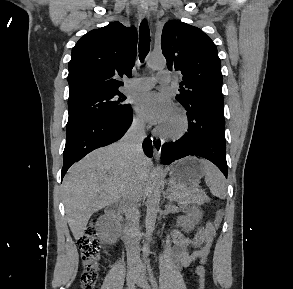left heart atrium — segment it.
Masks as SVG:
<instances>
[{
  "label": "left heart atrium",
  "mask_w": 293,
  "mask_h": 289,
  "mask_svg": "<svg viewBox=\"0 0 293 289\" xmlns=\"http://www.w3.org/2000/svg\"><path fill=\"white\" fill-rule=\"evenodd\" d=\"M137 112L149 123L164 124L173 113L170 99L162 93L147 92L137 97Z\"/></svg>",
  "instance_id": "left-heart-atrium-1"
}]
</instances>
